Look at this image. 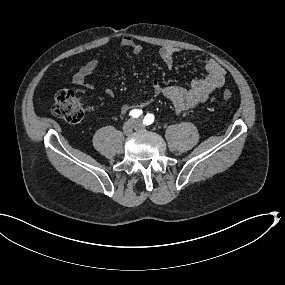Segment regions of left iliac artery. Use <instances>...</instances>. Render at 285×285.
I'll return each mask as SVG.
<instances>
[{"label": "left iliac artery", "instance_id": "left-iliac-artery-1", "mask_svg": "<svg viewBox=\"0 0 285 285\" xmlns=\"http://www.w3.org/2000/svg\"><path fill=\"white\" fill-rule=\"evenodd\" d=\"M154 121V115L153 114H147L145 118L143 119V124L150 125Z\"/></svg>", "mask_w": 285, "mask_h": 285}]
</instances>
